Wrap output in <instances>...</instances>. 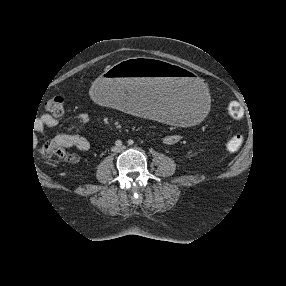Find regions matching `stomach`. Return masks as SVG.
Masks as SVG:
<instances>
[{
  "mask_svg": "<svg viewBox=\"0 0 286 286\" xmlns=\"http://www.w3.org/2000/svg\"><path fill=\"white\" fill-rule=\"evenodd\" d=\"M89 94L103 108L174 130L201 125L214 103L213 90L200 73L147 57L106 69L92 81Z\"/></svg>",
  "mask_w": 286,
  "mask_h": 286,
  "instance_id": "obj_1",
  "label": "stomach"
}]
</instances>
